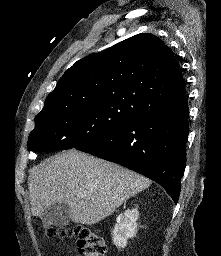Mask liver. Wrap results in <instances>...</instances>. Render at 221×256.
I'll return each instance as SVG.
<instances>
[{
  "instance_id": "6515ba94",
  "label": "liver",
  "mask_w": 221,
  "mask_h": 256,
  "mask_svg": "<svg viewBox=\"0 0 221 256\" xmlns=\"http://www.w3.org/2000/svg\"><path fill=\"white\" fill-rule=\"evenodd\" d=\"M151 184L146 177L75 149L33 168L28 177L31 211L41 217L57 203L75 223L93 225Z\"/></svg>"
}]
</instances>
